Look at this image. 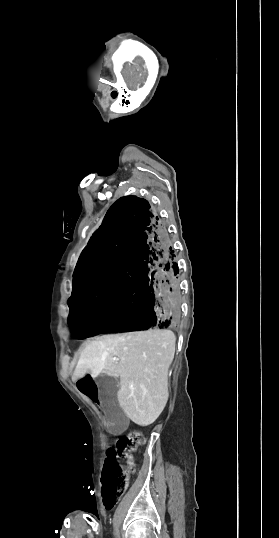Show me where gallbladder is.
I'll return each instance as SVG.
<instances>
[{
	"label": "gallbladder",
	"mask_w": 279,
	"mask_h": 538,
	"mask_svg": "<svg viewBox=\"0 0 279 538\" xmlns=\"http://www.w3.org/2000/svg\"><path fill=\"white\" fill-rule=\"evenodd\" d=\"M96 384L102 392L101 407L104 411L106 418L111 421V431L113 433H122L126 428L128 421L127 415L123 414V406L121 404H114L115 396L120 390L117 378L107 376V374H101L99 378H96Z\"/></svg>",
	"instance_id": "1"
}]
</instances>
